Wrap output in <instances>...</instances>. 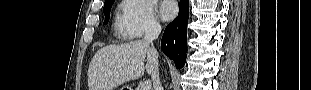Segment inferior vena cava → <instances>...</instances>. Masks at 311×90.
Segmentation results:
<instances>
[{"instance_id":"obj_1","label":"inferior vena cava","mask_w":311,"mask_h":90,"mask_svg":"<svg viewBox=\"0 0 311 90\" xmlns=\"http://www.w3.org/2000/svg\"><path fill=\"white\" fill-rule=\"evenodd\" d=\"M161 33V26L157 22L149 24L146 28L144 41L142 46L146 52V66H149V69L152 70L151 77L153 81V86L155 90H163L160 78H159V69L158 63L155 60L156 50L153 48V41L156 40Z\"/></svg>"}]
</instances>
